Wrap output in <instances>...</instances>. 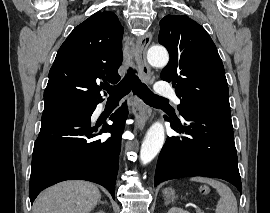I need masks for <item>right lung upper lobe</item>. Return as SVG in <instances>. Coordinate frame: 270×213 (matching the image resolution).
Instances as JSON below:
<instances>
[{
    "mask_svg": "<svg viewBox=\"0 0 270 213\" xmlns=\"http://www.w3.org/2000/svg\"><path fill=\"white\" fill-rule=\"evenodd\" d=\"M122 34L123 27L112 12L99 11L75 27L50 69L44 107L62 102L102 101L98 84L120 80Z\"/></svg>",
    "mask_w": 270,
    "mask_h": 213,
    "instance_id": "1",
    "label": "right lung upper lobe"
}]
</instances>
